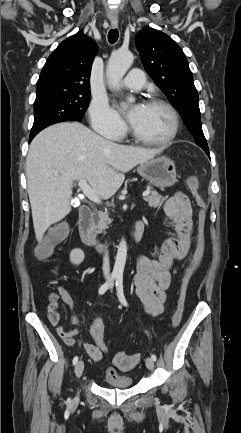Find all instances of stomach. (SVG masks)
<instances>
[{
	"instance_id": "0dacf381",
	"label": "stomach",
	"mask_w": 241,
	"mask_h": 433,
	"mask_svg": "<svg viewBox=\"0 0 241 433\" xmlns=\"http://www.w3.org/2000/svg\"><path fill=\"white\" fill-rule=\"evenodd\" d=\"M137 172L156 187H170L177 182L175 163L166 156H159L141 163Z\"/></svg>"
}]
</instances>
